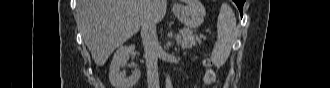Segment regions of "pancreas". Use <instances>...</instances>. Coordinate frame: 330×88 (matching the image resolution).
I'll use <instances>...</instances> for the list:
<instances>
[{
	"label": "pancreas",
	"mask_w": 330,
	"mask_h": 88,
	"mask_svg": "<svg viewBox=\"0 0 330 88\" xmlns=\"http://www.w3.org/2000/svg\"><path fill=\"white\" fill-rule=\"evenodd\" d=\"M180 34L182 35V39L178 41V45L183 49H190L193 46H196L197 43L201 44V39L205 38L202 34L198 36L193 31L186 28L182 29Z\"/></svg>",
	"instance_id": "obj_1"
}]
</instances>
